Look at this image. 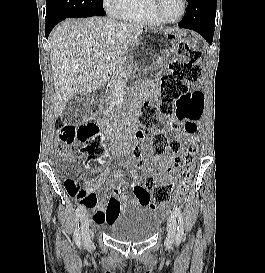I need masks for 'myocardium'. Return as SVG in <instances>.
<instances>
[{"label":"myocardium","mask_w":265,"mask_h":273,"mask_svg":"<svg viewBox=\"0 0 265 273\" xmlns=\"http://www.w3.org/2000/svg\"><path fill=\"white\" fill-rule=\"evenodd\" d=\"M160 0H150V8L154 17L162 24H173L181 21L187 13V0H182V12L176 19L165 18L159 10Z\"/></svg>","instance_id":"f54148a6"}]
</instances>
